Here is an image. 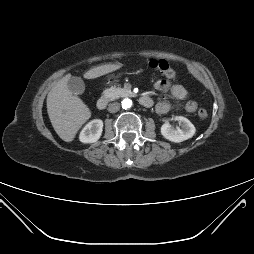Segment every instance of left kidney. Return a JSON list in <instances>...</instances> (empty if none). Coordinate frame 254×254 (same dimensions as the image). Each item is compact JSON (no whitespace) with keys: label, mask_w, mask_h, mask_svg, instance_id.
Wrapping results in <instances>:
<instances>
[{"label":"left kidney","mask_w":254,"mask_h":254,"mask_svg":"<svg viewBox=\"0 0 254 254\" xmlns=\"http://www.w3.org/2000/svg\"><path fill=\"white\" fill-rule=\"evenodd\" d=\"M180 123V127H173L169 122L161 126V134L169 141L180 143L192 138L196 132L194 125L185 117L177 116L175 118Z\"/></svg>","instance_id":"left-kidney-1"}]
</instances>
